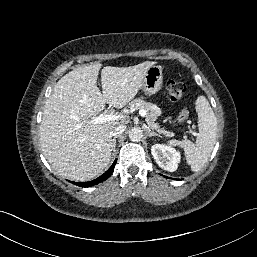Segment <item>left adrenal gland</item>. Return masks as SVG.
I'll return each mask as SVG.
<instances>
[{
    "instance_id": "left-adrenal-gland-1",
    "label": "left adrenal gland",
    "mask_w": 257,
    "mask_h": 257,
    "mask_svg": "<svg viewBox=\"0 0 257 257\" xmlns=\"http://www.w3.org/2000/svg\"><path fill=\"white\" fill-rule=\"evenodd\" d=\"M147 133H148L149 137H152V136L161 137L159 134L152 132L149 128H147Z\"/></svg>"
}]
</instances>
